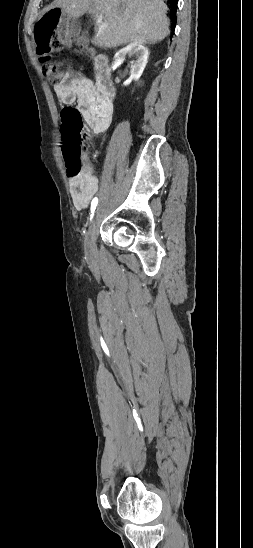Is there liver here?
I'll return each mask as SVG.
<instances>
[{
  "label": "liver",
  "mask_w": 253,
  "mask_h": 548,
  "mask_svg": "<svg viewBox=\"0 0 253 548\" xmlns=\"http://www.w3.org/2000/svg\"><path fill=\"white\" fill-rule=\"evenodd\" d=\"M77 18L86 12L103 17L104 27L93 38L95 46L108 49L127 43L155 44L169 34L167 6L162 0H54L49 9Z\"/></svg>",
  "instance_id": "1"
}]
</instances>
